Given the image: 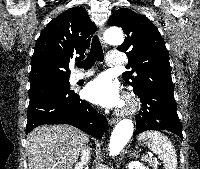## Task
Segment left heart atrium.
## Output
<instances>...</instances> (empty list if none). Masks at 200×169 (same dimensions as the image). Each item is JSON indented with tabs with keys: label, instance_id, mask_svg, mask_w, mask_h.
Instances as JSON below:
<instances>
[{
	"label": "left heart atrium",
	"instance_id": "1",
	"mask_svg": "<svg viewBox=\"0 0 200 169\" xmlns=\"http://www.w3.org/2000/svg\"><path fill=\"white\" fill-rule=\"evenodd\" d=\"M85 97L104 108H117L122 105L118 83L105 75L96 78L87 85Z\"/></svg>",
	"mask_w": 200,
	"mask_h": 169
}]
</instances>
